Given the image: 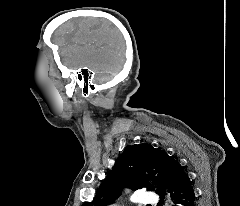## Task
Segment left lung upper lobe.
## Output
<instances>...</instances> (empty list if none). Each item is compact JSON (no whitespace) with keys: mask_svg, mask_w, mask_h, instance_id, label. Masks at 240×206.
Masks as SVG:
<instances>
[{"mask_svg":"<svg viewBox=\"0 0 240 206\" xmlns=\"http://www.w3.org/2000/svg\"><path fill=\"white\" fill-rule=\"evenodd\" d=\"M175 162L164 150L156 149L150 144L129 145L98 188L93 201L82 206H107L116 200L124 187L132 190L146 187L153 190L148 179L165 189ZM156 192L163 193L160 188Z\"/></svg>","mask_w":240,"mask_h":206,"instance_id":"1","label":"left lung upper lobe"}]
</instances>
